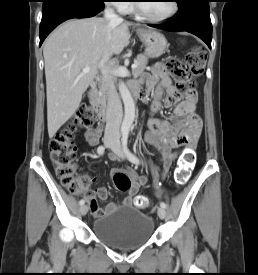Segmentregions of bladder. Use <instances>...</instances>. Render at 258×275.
I'll list each match as a JSON object with an SVG mask.
<instances>
[{
	"mask_svg": "<svg viewBox=\"0 0 258 275\" xmlns=\"http://www.w3.org/2000/svg\"><path fill=\"white\" fill-rule=\"evenodd\" d=\"M94 235L118 249H134L145 245L154 233L150 215L134 207L98 217L92 225Z\"/></svg>",
	"mask_w": 258,
	"mask_h": 275,
	"instance_id": "bladder-1",
	"label": "bladder"
}]
</instances>
